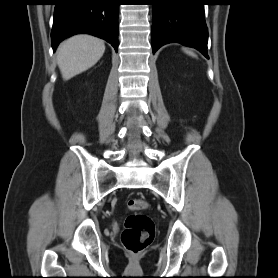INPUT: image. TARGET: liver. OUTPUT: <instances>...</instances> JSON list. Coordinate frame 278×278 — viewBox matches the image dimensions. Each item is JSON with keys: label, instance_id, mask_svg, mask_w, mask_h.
I'll return each instance as SVG.
<instances>
[{"label": "liver", "instance_id": "6515ba94", "mask_svg": "<svg viewBox=\"0 0 278 278\" xmlns=\"http://www.w3.org/2000/svg\"><path fill=\"white\" fill-rule=\"evenodd\" d=\"M105 52L104 41L87 34L65 40L58 51L57 63L64 80L93 67Z\"/></svg>", "mask_w": 278, "mask_h": 278}]
</instances>
